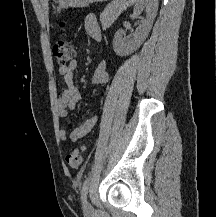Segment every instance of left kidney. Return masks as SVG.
<instances>
[{"instance_id": "obj_1", "label": "left kidney", "mask_w": 216, "mask_h": 217, "mask_svg": "<svg viewBox=\"0 0 216 217\" xmlns=\"http://www.w3.org/2000/svg\"><path fill=\"white\" fill-rule=\"evenodd\" d=\"M146 9V18H143L132 39L123 38V31L118 30L113 39L114 52L119 56H126L140 47L146 40L152 28L158 10V0H139L134 7V15L138 16L142 9Z\"/></svg>"}]
</instances>
